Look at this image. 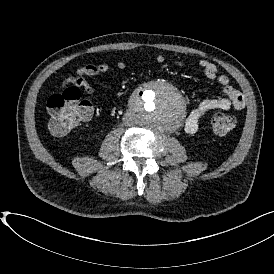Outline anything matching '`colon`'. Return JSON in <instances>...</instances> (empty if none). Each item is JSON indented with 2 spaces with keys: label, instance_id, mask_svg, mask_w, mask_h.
Returning a JSON list of instances; mask_svg holds the SVG:
<instances>
[{
  "label": "colon",
  "instance_id": "1",
  "mask_svg": "<svg viewBox=\"0 0 274 274\" xmlns=\"http://www.w3.org/2000/svg\"><path fill=\"white\" fill-rule=\"evenodd\" d=\"M47 108L52 114L49 129L54 136L66 135L80 123L90 120L94 112L89 100L80 99L79 90L52 94ZM235 123L233 115L217 112L211 119V129L216 135L225 136L233 131Z\"/></svg>",
  "mask_w": 274,
  "mask_h": 274
}]
</instances>
